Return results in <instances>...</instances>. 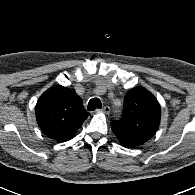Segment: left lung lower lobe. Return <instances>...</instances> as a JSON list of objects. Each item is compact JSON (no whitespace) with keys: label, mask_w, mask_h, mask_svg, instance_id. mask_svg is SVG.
<instances>
[{"label":"left lung lower lobe","mask_w":195,"mask_h":195,"mask_svg":"<svg viewBox=\"0 0 195 195\" xmlns=\"http://www.w3.org/2000/svg\"><path fill=\"white\" fill-rule=\"evenodd\" d=\"M122 144V143H121ZM124 147H127V148H129L128 146H126V145H124V144H122Z\"/></svg>","instance_id":"left-lung-lower-lobe-1"}]
</instances>
